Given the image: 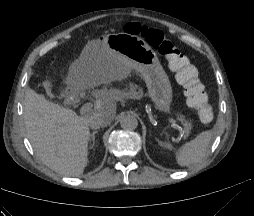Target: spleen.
I'll return each mask as SVG.
<instances>
[{
    "label": "spleen",
    "mask_w": 254,
    "mask_h": 216,
    "mask_svg": "<svg viewBox=\"0 0 254 216\" xmlns=\"http://www.w3.org/2000/svg\"><path fill=\"white\" fill-rule=\"evenodd\" d=\"M212 137L211 130L203 131L195 139L185 143L176 153L177 164L185 167L199 162L205 156ZM164 146L169 150L172 149L168 143Z\"/></svg>",
    "instance_id": "obj_1"
}]
</instances>
